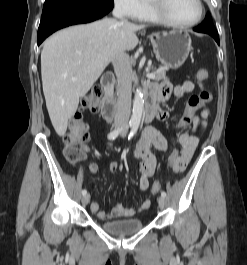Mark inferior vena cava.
I'll list each match as a JSON object with an SVG mask.
<instances>
[{"mask_svg": "<svg viewBox=\"0 0 247 265\" xmlns=\"http://www.w3.org/2000/svg\"><path fill=\"white\" fill-rule=\"evenodd\" d=\"M113 16L119 18L121 22H127L124 19L123 12L116 6L113 10ZM114 71L119 79V93L117 101V111L114 119L116 126H126L130 117L131 109V64L129 56L125 52L118 53L113 60Z\"/></svg>", "mask_w": 247, "mask_h": 265, "instance_id": "602c4592", "label": "inferior vena cava"}]
</instances>
